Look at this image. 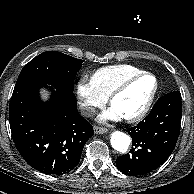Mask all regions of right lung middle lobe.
<instances>
[{
  "instance_id": "1",
  "label": "right lung middle lobe",
  "mask_w": 194,
  "mask_h": 194,
  "mask_svg": "<svg viewBox=\"0 0 194 194\" xmlns=\"http://www.w3.org/2000/svg\"><path fill=\"white\" fill-rule=\"evenodd\" d=\"M82 62L81 59L61 52H43L23 67L16 85L38 82L52 85L56 89L73 91L74 79Z\"/></svg>"
}]
</instances>
